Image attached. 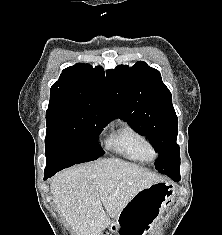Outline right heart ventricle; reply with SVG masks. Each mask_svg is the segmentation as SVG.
<instances>
[{
  "label": "right heart ventricle",
  "mask_w": 222,
  "mask_h": 235,
  "mask_svg": "<svg viewBox=\"0 0 222 235\" xmlns=\"http://www.w3.org/2000/svg\"><path fill=\"white\" fill-rule=\"evenodd\" d=\"M108 149L123 159L147 164L154 151L151 141L128 123H123L106 140Z\"/></svg>",
  "instance_id": "obj_1"
}]
</instances>
